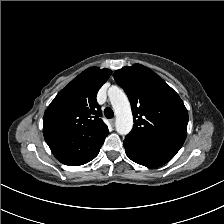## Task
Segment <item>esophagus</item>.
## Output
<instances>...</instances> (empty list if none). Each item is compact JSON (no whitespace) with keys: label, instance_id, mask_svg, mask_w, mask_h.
Listing matches in <instances>:
<instances>
[{"label":"esophagus","instance_id":"esophagus-1","mask_svg":"<svg viewBox=\"0 0 224 224\" xmlns=\"http://www.w3.org/2000/svg\"><path fill=\"white\" fill-rule=\"evenodd\" d=\"M109 123H110V125H111L112 127L115 126V120H114V119H111V120L109 121Z\"/></svg>","mask_w":224,"mask_h":224}]
</instances>
